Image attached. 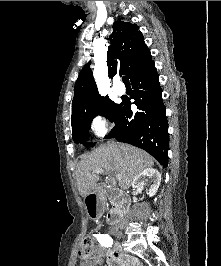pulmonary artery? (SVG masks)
I'll list each match as a JSON object with an SVG mask.
<instances>
[{"mask_svg":"<svg viewBox=\"0 0 221 266\" xmlns=\"http://www.w3.org/2000/svg\"><path fill=\"white\" fill-rule=\"evenodd\" d=\"M113 91L117 94V95H122L125 93V88L124 87H121V86H118V85H115L113 87Z\"/></svg>","mask_w":221,"mask_h":266,"instance_id":"1","label":"pulmonary artery"}]
</instances>
